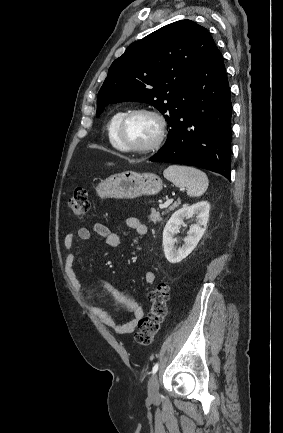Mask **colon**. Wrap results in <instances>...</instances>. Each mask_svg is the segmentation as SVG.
<instances>
[{"label": "colon", "instance_id": "5ec220e1", "mask_svg": "<svg viewBox=\"0 0 283 433\" xmlns=\"http://www.w3.org/2000/svg\"><path fill=\"white\" fill-rule=\"evenodd\" d=\"M69 209L71 214L79 219L86 216L89 210V192L86 188L75 189L69 200ZM169 295L170 289L165 283L158 284L149 293L150 311L139 321L135 334V343L138 346L147 347L154 341L168 314Z\"/></svg>", "mask_w": 283, "mask_h": 433}]
</instances>
